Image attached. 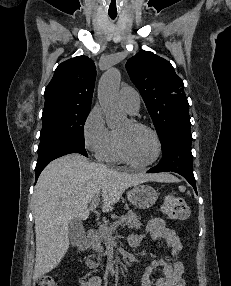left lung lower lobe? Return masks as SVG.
Returning <instances> with one entry per match:
<instances>
[{"label": "left lung lower lobe", "mask_w": 231, "mask_h": 286, "mask_svg": "<svg viewBox=\"0 0 231 286\" xmlns=\"http://www.w3.org/2000/svg\"><path fill=\"white\" fill-rule=\"evenodd\" d=\"M163 156L160 163L147 173L172 171L182 175L196 190L191 153L192 137L190 128L175 129L160 140Z\"/></svg>", "instance_id": "0a47b994"}]
</instances>
